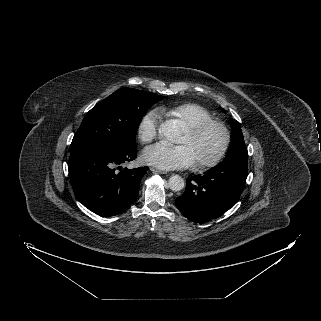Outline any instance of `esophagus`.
<instances>
[{
    "instance_id": "obj_1",
    "label": "esophagus",
    "mask_w": 321,
    "mask_h": 321,
    "mask_svg": "<svg viewBox=\"0 0 321 321\" xmlns=\"http://www.w3.org/2000/svg\"><path fill=\"white\" fill-rule=\"evenodd\" d=\"M150 170H151L152 172L159 173V174H164V175H167V174H168V173L165 172V171H162V170H159V169H156V168H153V167H151Z\"/></svg>"
}]
</instances>
